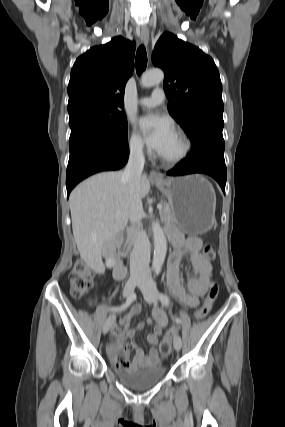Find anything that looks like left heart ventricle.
<instances>
[{
  "instance_id": "b2bd125f",
  "label": "left heart ventricle",
  "mask_w": 285,
  "mask_h": 427,
  "mask_svg": "<svg viewBox=\"0 0 285 427\" xmlns=\"http://www.w3.org/2000/svg\"><path fill=\"white\" fill-rule=\"evenodd\" d=\"M183 143L180 137L173 132L170 137L167 139L163 148L158 152V154L162 157H175L179 155L182 151Z\"/></svg>"
}]
</instances>
